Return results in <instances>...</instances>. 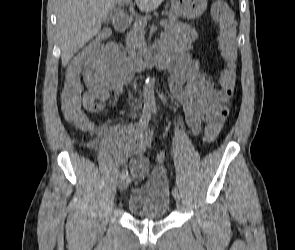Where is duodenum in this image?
Wrapping results in <instances>:
<instances>
[{"instance_id":"duodenum-1","label":"duodenum","mask_w":295,"mask_h":250,"mask_svg":"<svg viewBox=\"0 0 295 250\" xmlns=\"http://www.w3.org/2000/svg\"><path fill=\"white\" fill-rule=\"evenodd\" d=\"M130 21L128 13H120L113 19V28L117 32H125L130 26ZM167 65L166 52L159 45L158 47H151L135 56L121 53L116 59L115 75L119 81L126 82L151 66H158L159 69L163 70Z\"/></svg>"}]
</instances>
